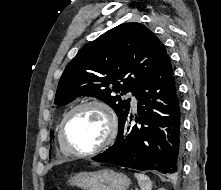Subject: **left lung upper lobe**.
<instances>
[{"mask_svg": "<svg viewBox=\"0 0 221 190\" xmlns=\"http://www.w3.org/2000/svg\"><path fill=\"white\" fill-rule=\"evenodd\" d=\"M166 55L164 45L144 25L121 24L81 48L60 78L55 104L93 96L112 107L120 122L130 110V99L121 95H135Z\"/></svg>", "mask_w": 221, "mask_h": 190, "instance_id": "5c2ea615", "label": "left lung upper lobe"}]
</instances>
